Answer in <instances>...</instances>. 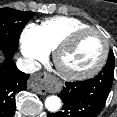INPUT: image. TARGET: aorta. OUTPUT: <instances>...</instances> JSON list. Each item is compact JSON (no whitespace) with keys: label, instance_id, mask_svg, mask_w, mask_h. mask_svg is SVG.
Returning a JSON list of instances; mask_svg holds the SVG:
<instances>
[{"label":"aorta","instance_id":"762f6f07","mask_svg":"<svg viewBox=\"0 0 117 117\" xmlns=\"http://www.w3.org/2000/svg\"><path fill=\"white\" fill-rule=\"evenodd\" d=\"M45 107L50 112H56L61 107V99L58 96H48L45 100Z\"/></svg>","mask_w":117,"mask_h":117}]
</instances>
